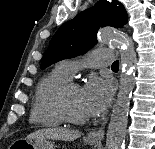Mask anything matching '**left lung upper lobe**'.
<instances>
[{
	"instance_id": "5c2ea615",
	"label": "left lung upper lobe",
	"mask_w": 155,
	"mask_h": 149,
	"mask_svg": "<svg viewBox=\"0 0 155 149\" xmlns=\"http://www.w3.org/2000/svg\"><path fill=\"white\" fill-rule=\"evenodd\" d=\"M127 19L126 10L120 2L99 1L95 7L60 26L49 43L40 68L45 69L58 61L85 53L96 44L100 27H122Z\"/></svg>"
}]
</instances>
